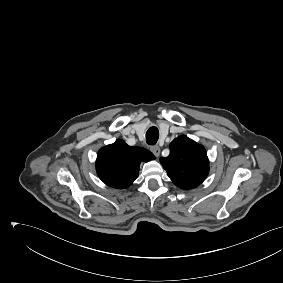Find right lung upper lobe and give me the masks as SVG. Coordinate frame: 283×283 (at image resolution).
<instances>
[{
    "mask_svg": "<svg viewBox=\"0 0 283 283\" xmlns=\"http://www.w3.org/2000/svg\"><path fill=\"white\" fill-rule=\"evenodd\" d=\"M153 159L155 157L149 150L116 140L99 150L96 171L106 185L117 189L128 188L138 177L140 163Z\"/></svg>",
    "mask_w": 283,
    "mask_h": 283,
    "instance_id": "right-lung-upper-lobe-1",
    "label": "right lung upper lobe"
}]
</instances>
